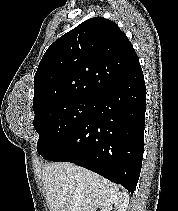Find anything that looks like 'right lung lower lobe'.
I'll return each mask as SVG.
<instances>
[{
  "label": "right lung lower lobe",
  "instance_id": "obj_1",
  "mask_svg": "<svg viewBox=\"0 0 178 211\" xmlns=\"http://www.w3.org/2000/svg\"><path fill=\"white\" fill-rule=\"evenodd\" d=\"M145 110L140 70L98 96L84 122L43 158L82 166L133 193L142 166Z\"/></svg>",
  "mask_w": 178,
  "mask_h": 211
}]
</instances>
